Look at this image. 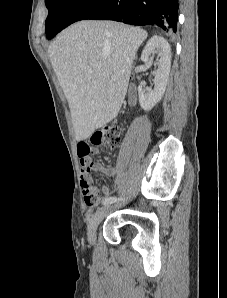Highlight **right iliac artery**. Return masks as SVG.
I'll use <instances>...</instances> for the list:
<instances>
[{
	"label": "right iliac artery",
	"mask_w": 227,
	"mask_h": 298,
	"mask_svg": "<svg viewBox=\"0 0 227 298\" xmlns=\"http://www.w3.org/2000/svg\"><path fill=\"white\" fill-rule=\"evenodd\" d=\"M117 200H121L120 198L117 199L116 197H107L103 200V205L111 204Z\"/></svg>",
	"instance_id": "obj_1"
}]
</instances>
